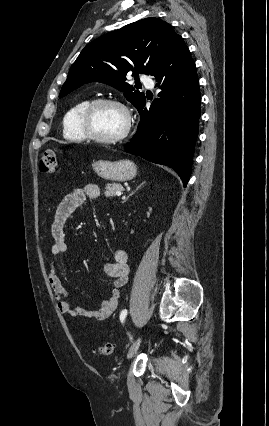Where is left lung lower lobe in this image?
<instances>
[{"mask_svg": "<svg viewBox=\"0 0 269 426\" xmlns=\"http://www.w3.org/2000/svg\"><path fill=\"white\" fill-rule=\"evenodd\" d=\"M160 89L150 108L137 107L140 123L127 152L169 166L187 185L198 137L201 95L195 63L179 35L151 70Z\"/></svg>", "mask_w": 269, "mask_h": 426, "instance_id": "left-lung-lower-lobe-1", "label": "left lung lower lobe"}]
</instances>
